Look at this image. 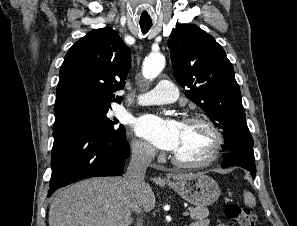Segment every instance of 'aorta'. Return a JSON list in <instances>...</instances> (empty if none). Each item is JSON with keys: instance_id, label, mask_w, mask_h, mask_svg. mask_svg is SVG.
Segmentation results:
<instances>
[{"instance_id": "762f6f07", "label": "aorta", "mask_w": 297, "mask_h": 226, "mask_svg": "<svg viewBox=\"0 0 297 226\" xmlns=\"http://www.w3.org/2000/svg\"><path fill=\"white\" fill-rule=\"evenodd\" d=\"M165 66V58L161 54L149 55L143 62L142 74L144 78L153 80L163 70Z\"/></svg>"}]
</instances>
